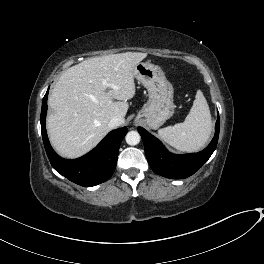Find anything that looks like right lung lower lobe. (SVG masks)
<instances>
[{
	"instance_id": "98d812e1",
	"label": "right lung lower lobe",
	"mask_w": 264,
	"mask_h": 264,
	"mask_svg": "<svg viewBox=\"0 0 264 264\" xmlns=\"http://www.w3.org/2000/svg\"><path fill=\"white\" fill-rule=\"evenodd\" d=\"M48 91L43 98L40 122L43 143L52 167L70 181L84 187L95 186L107 181L114 173L119 147L128 132L127 128L111 131L96 148L81 158L63 159L54 152L47 137L45 118Z\"/></svg>"
}]
</instances>
